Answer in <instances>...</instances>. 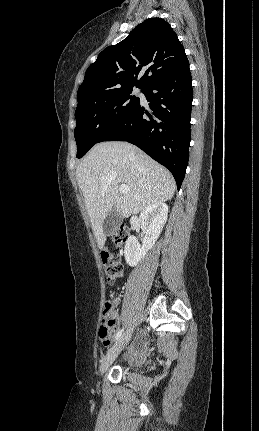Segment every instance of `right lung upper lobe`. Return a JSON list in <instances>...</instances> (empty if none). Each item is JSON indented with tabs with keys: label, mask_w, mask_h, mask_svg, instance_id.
<instances>
[{
	"label": "right lung upper lobe",
	"mask_w": 259,
	"mask_h": 431,
	"mask_svg": "<svg viewBox=\"0 0 259 431\" xmlns=\"http://www.w3.org/2000/svg\"><path fill=\"white\" fill-rule=\"evenodd\" d=\"M188 64L184 47L171 26L161 18L147 19L126 39L105 48L88 67L78 89V104L90 96L121 88L145 89Z\"/></svg>",
	"instance_id": "right-lung-upper-lobe-1"
}]
</instances>
